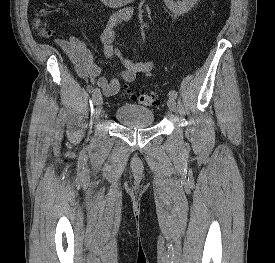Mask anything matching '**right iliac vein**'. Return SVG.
<instances>
[{
	"instance_id": "63e3f726",
	"label": "right iliac vein",
	"mask_w": 275,
	"mask_h": 263,
	"mask_svg": "<svg viewBox=\"0 0 275 263\" xmlns=\"http://www.w3.org/2000/svg\"><path fill=\"white\" fill-rule=\"evenodd\" d=\"M95 115L98 117L101 113L102 110V105H103V98L100 95L96 100H95Z\"/></svg>"
}]
</instances>
